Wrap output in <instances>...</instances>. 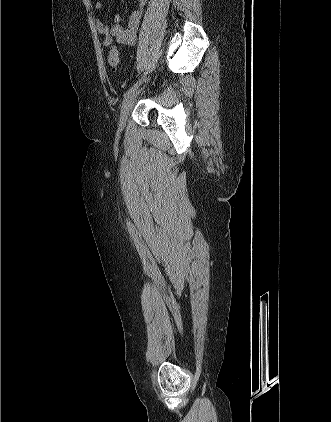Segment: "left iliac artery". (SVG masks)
Here are the masks:
<instances>
[{
	"instance_id": "1",
	"label": "left iliac artery",
	"mask_w": 331,
	"mask_h": 422,
	"mask_svg": "<svg viewBox=\"0 0 331 422\" xmlns=\"http://www.w3.org/2000/svg\"><path fill=\"white\" fill-rule=\"evenodd\" d=\"M144 77V76H143ZM143 77L141 79H139L131 88L128 89V91L124 94V99L123 101L129 97L137 88L138 86L141 84Z\"/></svg>"
}]
</instances>
